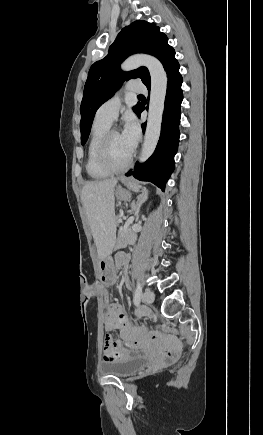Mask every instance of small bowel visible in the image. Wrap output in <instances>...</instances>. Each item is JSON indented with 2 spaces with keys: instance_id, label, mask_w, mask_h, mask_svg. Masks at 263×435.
Listing matches in <instances>:
<instances>
[{
  "instance_id": "obj_1",
  "label": "small bowel",
  "mask_w": 263,
  "mask_h": 435,
  "mask_svg": "<svg viewBox=\"0 0 263 435\" xmlns=\"http://www.w3.org/2000/svg\"><path fill=\"white\" fill-rule=\"evenodd\" d=\"M128 257L119 253L114 257L113 266L116 269H126ZM124 281L129 283L125 273ZM141 315L129 316L121 305L111 303L106 308L104 326L107 332L118 330L119 340L113 339L112 348H103V360L106 362L118 361L132 355L153 356L157 362L178 361L179 354L176 348H181V343L167 341L172 339V334L167 332L149 331L139 325ZM126 342L124 343L123 341Z\"/></svg>"
}]
</instances>
